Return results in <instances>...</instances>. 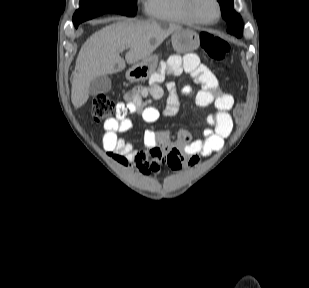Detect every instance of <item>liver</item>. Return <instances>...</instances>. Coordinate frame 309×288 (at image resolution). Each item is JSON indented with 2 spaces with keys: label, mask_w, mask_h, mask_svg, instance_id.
I'll list each match as a JSON object with an SVG mask.
<instances>
[{
  "label": "liver",
  "mask_w": 309,
  "mask_h": 288,
  "mask_svg": "<svg viewBox=\"0 0 309 288\" xmlns=\"http://www.w3.org/2000/svg\"><path fill=\"white\" fill-rule=\"evenodd\" d=\"M176 24L123 19L103 27L83 44L76 59L71 100L76 109L89 98L91 81L102 75L118 73L128 64L149 57L175 30ZM128 49L125 59L120 51Z\"/></svg>",
  "instance_id": "1"
}]
</instances>
